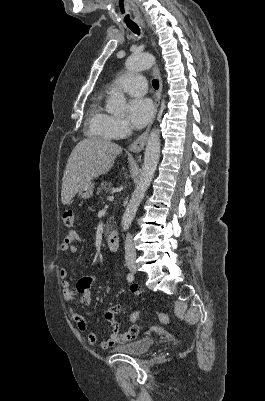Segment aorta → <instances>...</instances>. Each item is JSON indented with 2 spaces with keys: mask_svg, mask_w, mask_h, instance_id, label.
<instances>
[{
  "mask_svg": "<svg viewBox=\"0 0 265 401\" xmlns=\"http://www.w3.org/2000/svg\"><path fill=\"white\" fill-rule=\"evenodd\" d=\"M155 58L153 54L149 52H142L138 58H128L125 62L127 70L130 72H136V70H142V68H149L154 64ZM126 104V98L123 92H114L110 100H108V110L111 112H121ZM160 158V134L158 128H153L150 132L146 148L144 152V162L140 174V180L130 198V201L123 213L121 227L123 231L129 229L142 201V198L150 186V182L154 176L156 166Z\"/></svg>",
  "mask_w": 265,
  "mask_h": 401,
  "instance_id": "aorta-1",
  "label": "aorta"
}]
</instances>
